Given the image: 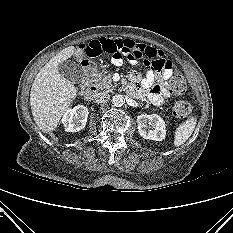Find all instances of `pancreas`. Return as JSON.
Instances as JSON below:
<instances>
[{
  "instance_id": "1",
  "label": "pancreas",
  "mask_w": 233,
  "mask_h": 233,
  "mask_svg": "<svg viewBox=\"0 0 233 233\" xmlns=\"http://www.w3.org/2000/svg\"><path fill=\"white\" fill-rule=\"evenodd\" d=\"M96 86L105 92H112L117 85H114L112 83V75L108 74L107 76H105L104 78H102L99 83L96 84Z\"/></svg>"
}]
</instances>
